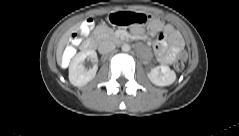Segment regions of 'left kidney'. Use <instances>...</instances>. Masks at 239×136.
Masks as SVG:
<instances>
[{
  "label": "left kidney",
  "mask_w": 239,
  "mask_h": 136,
  "mask_svg": "<svg viewBox=\"0 0 239 136\" xmlns=\"http://www.w3.org/2000/svg\"><path fill=\"white\" fill-rule=\"evenodd\" d=\"M150 81L157 86H169L176 80V74L169 66H157L147 74Z\"/></svg>",
  "instance_id": "1"
}]
</instances>
